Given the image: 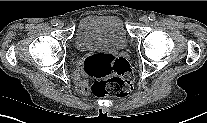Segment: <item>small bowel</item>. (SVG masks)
Instances as JSON below:
<instances>
[{"label":"small bowel","instance_id":"c3829d8e","mask_svg":"<svg viewBox=\"0 0 207 123\" xmlns=\"http://www.w3.org/2000/svg\"><path fill=\"white\" fill-rule=\"evenodd\" d=\"M83 76H85V71L83 66H81L80 70L76 71L74 74L75 86L80 93L87 94L89 92V86L87 80L84 79Z\"/></svg>","mask_w":207,"mask_h":123}]
</instances>
